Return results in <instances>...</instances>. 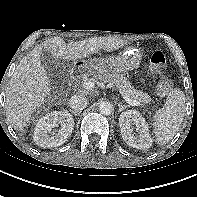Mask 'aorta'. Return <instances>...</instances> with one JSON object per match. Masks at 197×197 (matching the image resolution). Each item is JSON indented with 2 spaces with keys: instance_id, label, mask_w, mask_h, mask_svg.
<instances>
[{
  "instance_id": "762f6f07",
  "label": "aorta",
  "mask_w": 197,
  "mask_h": 197,
  "mask_svg": "<svg viewBox=\"0 0 197 197\" xmlns=\"http://www.w3.org/2000/svg\"><path fill=\"white\" fill-rule=\"evenodd\" d=\"M99 112L103 115H110L113 111V105L109 101H101L98 106Z\"/></svg>"
}]
</instances>
